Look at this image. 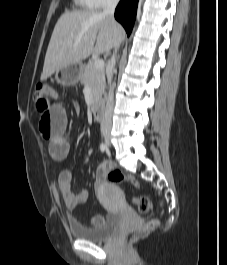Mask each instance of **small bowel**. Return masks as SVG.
<instances>
[{"label":"small bowel","mask_w":227,"mask_h":265,"mask_svg":"<svg viewBox=\"0 0 227 265\" xmlns=\"http://www.w3.org/2000/svg\"><path fill=\"white\" fill-rule=\"evenodd\" d=\"M39 130L41 135L48 141V152L50 156L57 161L65 160L70 151V142L67 137V115L65 109L60 104H53L50 109H43L40 116ZM110 169L109 164L99 165L94 172V188L100 189L104 178ZM73 173L71 170L62 169L57 178L58 189L64 205L68 209H74L85 204L88 200V192L81 190L74 192L71 189ZM71 222L76 219L69 216ZM101 215H95L91 218L93 226H98L103 222Z\"/></svg>","instance_id":"obj_1"}]
</instances>
